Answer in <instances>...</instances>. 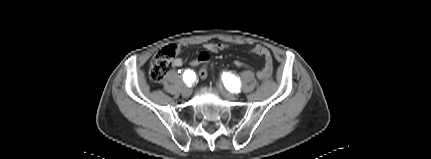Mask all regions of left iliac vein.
Segmentation results:
<instances>
[{
    "instance_id": "4c4485c4",
    "label": "left iliac vein",
    "mask_w": 431,
    "mask_h": 159,
    "mask_svg": "<svg viewBox=\"0 0 431 159\" xmlns=\"http://www.w3.org/2000/svg\"><path fill=\"white\" fill-rule=\"evenodd\" d=\"M222 93H223V95H224V97H225L226 99H228V100H230V101H234V100H236V95H235V94H233V93H231V92H228V91H225V90H223V91H222Z\"/></svg>"
}]
</instances>
